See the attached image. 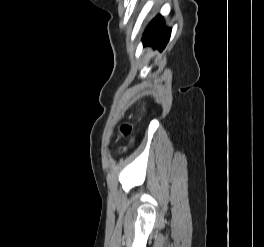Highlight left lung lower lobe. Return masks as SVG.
<instances>
[{
  "mask_svg": "<svg viewBox=\"0 0 264 247\" xmlns=\"http://www.w3.org/2000/svg\"><path fill=\"white\" fill-rule=\"evenodd\" d=\"M171 29L164 26L163 17L157 15L148 25L143 35L144 46L151 45L162 51L169 41Z\"/></svg>",
  "mask_w": 264,
  "mask_h": 247,
  "instance_id": "0a47b994",
  "label": "left lung lower lobe"
}]
</instances>
